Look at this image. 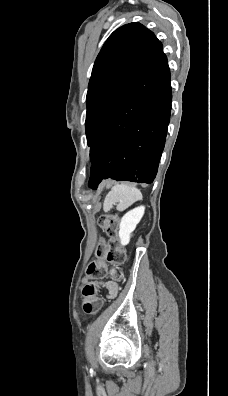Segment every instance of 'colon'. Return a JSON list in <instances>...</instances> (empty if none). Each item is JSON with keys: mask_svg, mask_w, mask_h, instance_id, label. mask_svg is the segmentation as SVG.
I'll use <instances>...</instances> for the list:
<instances>
[{"mask_svg": "<svg viewBox=\"0 0 228 396\" xmlns=\"http://www.w3.org/2000/svg\"><path fill=\"white\" fill-rule=\"evenodd\" d=\"M98 223L109 236V241L107 245L100 243L97 249V259L90 262L86 269V281L82 287V309L86 314H96L102 308V299L98 295L97 287L93 281L105 277L106 263L117 266L125 260V252L117 237L118 218L112 214H104L100 216Z\"/></svg>", "mask_w": 228, "mask_h": 396, "instance_id": "1", "label": "colon"}]
</instances>
